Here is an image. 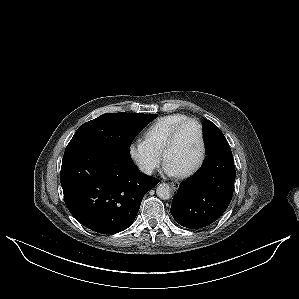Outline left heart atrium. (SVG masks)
Returning <instances> with one entry per match:
<instances>
[{"instance_id": "obj_1", "label": "left heart atrium", "mask_w": 299, "mask_h": 299, "mask_svg": "<svg viewBox=\"0 0 299 299\" xmlns=\"http://www.w3.org/2000/svg\"><path fill=\"white\" fill-rule=\"evenodd\" d=\"M164 171L170 176L177 177L180 175V171L177 168H175L173 165H171L170 163H167L164 166Z\"/></svg>"}]
</instances>
